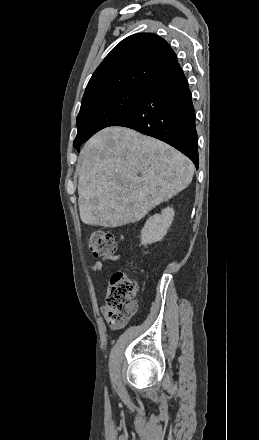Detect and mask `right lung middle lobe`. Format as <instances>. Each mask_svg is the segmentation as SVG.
<instances>
[{
    "mask_svg": "<svg viewBox=\"0 0 259 440\" xmlns=\"http://www.w3.org/2000/svg\"><path fill=\"white\" fill-rule=\"evenodd\" d=\"M147 88H125L95 97L83 104L77 116L78 132L73 146H80L99 130L128 113L144 96Z\"/></svg>",
    "mask_w": 259,
    "mask_h": 440,
    "instance_id": "dd1d6c3e",
    "label": "right lung middle lobe"
}]
</instances>
